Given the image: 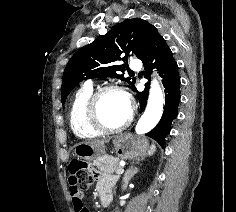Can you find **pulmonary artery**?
<instances>
[{"label":"pulmonary artery","mask_w":236,"mask_h":212,"mask_svg":"<svg viewBox=\"0 0 236 212\" xmlns=\"http://www.w3.org/2000/svg\"><path fill=\"white\" fill-rule=\"evenodd\" d=\"M129 66L133 70H139L141 68V64L138 60H131Z\"/></svg>","instance_id":"1"}]
</instances>
